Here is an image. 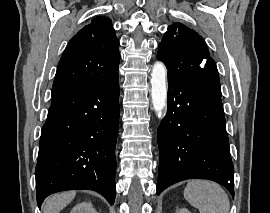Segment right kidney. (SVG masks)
<instances>
[{"label":"right kidney","mask_w":270,"mask_h":213,"mask_svg":"<svg viewBox=\"0 0 270 213\" xmlns=\"http://www.w3.org/2000/svg\"><path fill=\"white\" fill-rule=\"evenodd\" d=\"M70 213H97L91 202H82L77 204Z\"/></svg>","instance_id":"1"}]
</instances>
